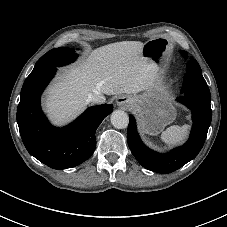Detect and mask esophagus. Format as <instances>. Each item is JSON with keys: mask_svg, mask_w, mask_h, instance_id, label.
I'll use <instances>...</instances> for the list:
<instances>
[{"mask_svg": "<svg viewBox=\"0 0 227 227\" xmlns=\"http://www.w3.org/2000/svg\"><path fill=\"white\" fill-rule=\"evenodd\" d=\"M116 103L119 107H128L130 104V98L127 96H120L117 98Z\"/></svg>", "mask_w": 227, "mask_h": 227, "instance_id": "1", "label": "esophagus"}]
</instances>
